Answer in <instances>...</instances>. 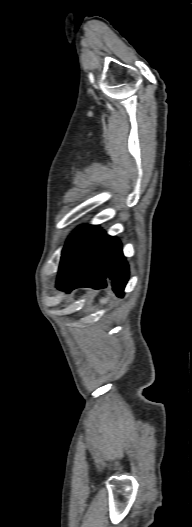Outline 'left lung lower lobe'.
Here are the masks:
<instances>
[{
  "label": "left lung lower lobe",
  "instance_id": "0a47b994",
  "mask_svg": "<svg viewBox=\"0 0 192 527\" xmlns=\"http://www.w3.org/2000/svg\"><path fill=\"white\" fill-rule=\"evenodd\" d=\"M128 274L120 242L98 226L87 225L62 252L57 288L67 293L79 287L105 288L110 279L114 292L122 297Z\"/></svg>",
  "mask_w": 192,
  "mask_h": 527
}]
</instances>
